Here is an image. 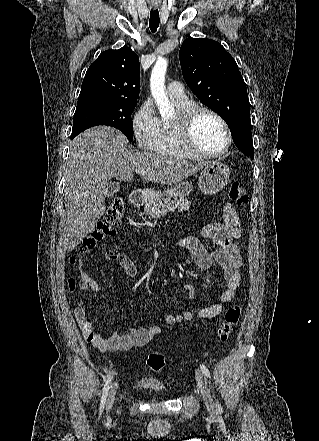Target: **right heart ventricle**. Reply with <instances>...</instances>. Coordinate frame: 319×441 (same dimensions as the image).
I'll return each mask as SVG.
<instances>
[{
    "label": "right heart ventricle",
    "mask_w": 319,
    "mask_h": 441,
    "mask_svg": "<svg viewBox=\"0 0 319 441\" xmlns=\"http://www.w3.org/2000/svg\"><path fill=\"white\" fill-rule=\"evenodd\" d=\"M178 113L183 112L194 104L191 101L178 102L175 101ZM156 154L177 158H195L189 154L180 144L176 126L173 120H160L159 134L156 143L152 149Z\"/></svg>",
    "instance_id": "e07e8e85"
}]
</instances>
